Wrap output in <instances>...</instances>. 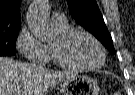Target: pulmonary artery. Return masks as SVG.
Returning a JSON list of instances; mask_svg holds the SVG:
<instances>
[{
    "mask_svg": "<svg viewBox=\"0 0 135 95\" xmlns=\"http://www.w3.org/2000/svg\"><path fill=\"white\" fill-rule=\"evenodd\" d=\"M52 24L54 26H58V27H63L67 25V20L65 15L61 14V13H55L52 16Z\"/></svg>",
    "mask_w": 135,
    "mask_h": 95,
    "instance_id": "1",
    "label": "pulmonary artery"
}]
</instances>
